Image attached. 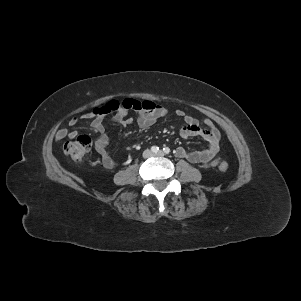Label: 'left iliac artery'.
Returning a JSON list of instances; mask_svg holds the SVG:
<instances>
[{
  "instance_id": "obj_1",
  "label": "left iliac artery",
  "mask_w": 301,
  "mask_h": 301,
  "mask_svg": "<svg viewBox=\"0 0 301 301\" xmlns=\"http://www.w3.org/2000/svg\"><path fill=\"white\" fill-rule=\"evenodd\" d=\"M164 153L169 154L170 153V149L168 147L163 148Z\"/></svg>"
}]
</instances>
